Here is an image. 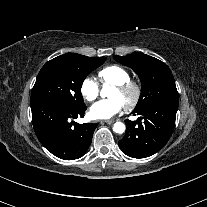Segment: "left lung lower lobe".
<instances>
[{"label":"left lung lower lobe","mask_w":207,"mask_h":207,"mask_svg":"<svg viewBox=\"0 0 207 207\" xmlns=\"http://www.w3.org/2000/svg\"><path fill=\"white\" fill-rule=\"evenodd\" d=\"M178 103H158L138 115V120L126 121V132L119 141L121 150L133 158H145L155 154L168 142L176 119ZM143 119L144 122L140 120Z\"/></svg>","instance_id":"0a47b994"}]
</instances>
